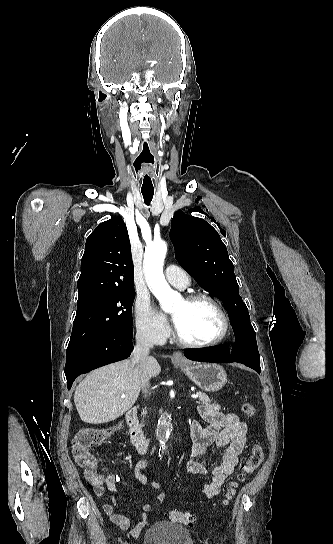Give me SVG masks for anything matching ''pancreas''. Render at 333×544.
<instances>
[{"mask_svg":"<svg viewBox=\"0 0 333 544\" xmlns=\"http://www.w3.org/2000/svg\"><path fill=\"white\" fill-rule=\"evenodd\" d=\"M197 394L199 395L198 403H202V404H205V405L211 404L212 399L209 398V396L206 395L204 392L199 391V392H197ZM142 414L145 415L146 411H143Z\"/></svg>","mask_w":333,"mask_h":544,"instance_id":"cf45deb5","label":"pancreas"}]
</instances>
